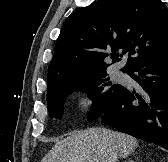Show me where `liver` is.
<instances>
[{
	"mask_svg": "<svg viewBox=\"0 0 168 162\" xmlns=\"http://www.w3.org/2000/svg\"><path fill=\"white\" fill-rule=\"evenodd\" d=\"M137 146V139L130 135L90 128L57 142L41 162H117Z\"/></svg>",
	"mask_w": 168,
	"mask_h": 162,
	"instance_id": "6515ba94",
	"label": "liver"
}]
</instances>
